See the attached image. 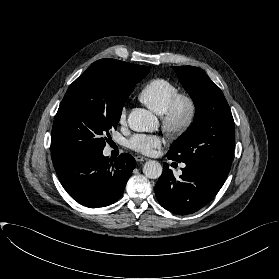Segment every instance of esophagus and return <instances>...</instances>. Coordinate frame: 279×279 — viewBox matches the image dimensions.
I'll return each instance as SVG.
<instances>
[{
	"mask_svg": "<svg viewBox=\"0 0 279 279\" xmlns=\"http://www.w3.org/2000/svg\"><path fill=\"white\" fill-rule=\"evenodd\" d=\"M135 160H136L137 162H143V161H146L147 158H146V157H143V156H136V157H135Z\"/></svg>",
	"mask_w": 279,
	"mask_h": 279,
	"instance_id": "1",
	"label": "esophagus"
}]
</instances>
